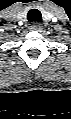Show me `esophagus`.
Wrapping results in <instances>:
<instances>
[{"label": "esophagus", "mask_w": 71, "mask_h": 119, "mask_svg": "<svg viewBox=\"0 0 71 119\" xmlns=\"http://www.w3.org/2000/svg\"><path fill=\"white\" fill-rule=\"evenodd\" d=\"M31 29L36 30V31H41L42 26H41L40 23L34 22V23L32 24V26H31Z\"/></svg>", "instance_id": "34e87169"}]
</instances>
